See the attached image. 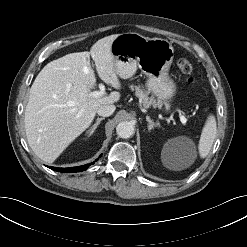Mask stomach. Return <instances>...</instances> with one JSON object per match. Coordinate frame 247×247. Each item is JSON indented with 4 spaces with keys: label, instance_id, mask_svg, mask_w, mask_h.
<instances>
[{
    "label": "stomach",
    "instance_id": "obj_1",
    "mask_svg": "<svg viewBox=\"0 0 247 247\" xmlns=\"http://www.w3.org/2000/svg\"><path fill=\"white\" fill-rule=\"evenodd\" d=\"M111 51L119 77L128 79L139 68L148 77L147 92L157 98L159 106H170L177 86L169 76L174 48L168 40L150 39L132 32L122 33L112 42Z\"/></svg>",
    "mask_w": 247,
    "mask_h": 247
}]
</instances>
